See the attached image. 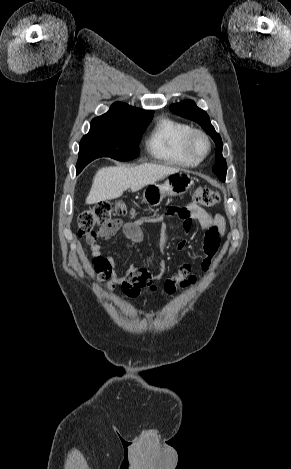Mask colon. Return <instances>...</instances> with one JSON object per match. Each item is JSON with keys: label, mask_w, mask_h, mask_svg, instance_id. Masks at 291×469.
<instances>
[{"label": "colon", "mask_w": 291, "mask_h": 469, "mask_svg": "<svg viewBox=\"0 0 291 469\" xmlns=\"http://www.w3.org/2000/svg\"><path fill=\"white\" fill-rule=\"evenodd\" d=\"M195 203L214 207L220 202V194L213 189L200 187L193 194ZM177 212L175 209H169L168 213ZM131 211L122 201H102L97 203L92 209L84 211L78 219V233L87 237L90 241H98L108 232V226L113 216H126ZM94 267L97 271L107 268V264L101 259H93Z\"/></svg>", "instance_id": "5ec220e1"}]
</instances>
